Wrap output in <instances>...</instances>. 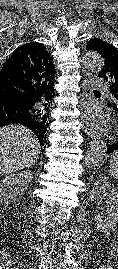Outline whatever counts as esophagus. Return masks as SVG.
I'll return each instance as SVG.
<instances>
[{"label": "esophagus", "instance_id": "esophagus-1", "mask_svg": "<svg viewBox=\"0 0 118 269\" xmlns=\"http://www.w3.org/2000/svg\"><path fill=\"white\" fill-rule=\"evenodd\" d=\"M81 109L83 111L82 120L84 122L83 130L85 134L92 138L94 136V121L90 114L89 102L92 94V77L90 73H85L82 85Z\"/></svg>", "mask_w": 118, "mask_h": 269}]
</instances>
